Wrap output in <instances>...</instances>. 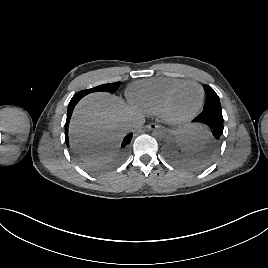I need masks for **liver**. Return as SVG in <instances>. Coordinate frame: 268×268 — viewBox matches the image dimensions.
Returning a JSON list of instances; mask_svg holds the SVG:
<instances>
[{"mask_svg": "<svg viewBox=\"0 0 268 268\" xmlns=\"http://www.w3.org/2000/svg\"><path fill=\"white\" fill-rule=\"evenodd\" d=\"M134 117L121 98L107 93L90 94L74 110L69 130L71 143L82 150L115 147L129 131Z\"/></svg>", "mask_w": 268, "mask_h": 268, "instance_id": "1", "label": "liver"}]
</instances>
